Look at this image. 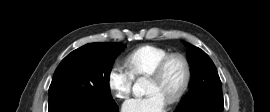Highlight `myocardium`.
Returning <instances> with one entry per match:
<instances>
[{
  "label": "myocardium",
  "mask_w": 270,
  "mask_h": 112,
  "mask_svg": "<svg viewBox=\"0 0 270 112\" xmlns=\"http://www.w3.org/2000/svg\"><path fill=\"white\" fill-rule=\"evenodd\" d=\"M176 60L180 61L184 66V78L178 91L167 101L169 105L178 103L188 91L192 79V67L188 58L179 53L170 54L165 57L148 76L150 79L161 81L164 78L170 64Z\"/></svg>",
  "instance_id": "f54148a6"
}]
</instances>
